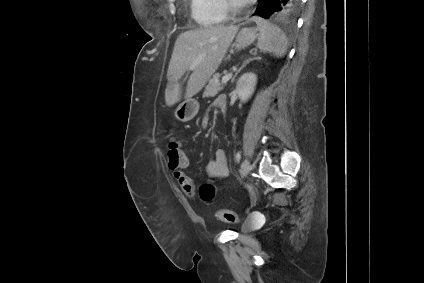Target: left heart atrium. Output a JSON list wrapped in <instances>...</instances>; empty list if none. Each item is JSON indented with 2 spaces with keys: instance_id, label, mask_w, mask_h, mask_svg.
<instances>
[{
  "instance_id": "obj_1",
  "label": "left heart atrium",
  "mask_w": 424,
  "mask_h": 283,
  "mask_svg": "<svg viewBox=\"0 0 424 283\" xmlns=\"http://www.w3.org/2000/svg\"><path fill=\"white\" fill-rule=\"evenodd\" d=\"M235 3L237 4H247L249 3L251 0H233Z\"/></svg>"
}]
</instances>
